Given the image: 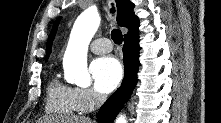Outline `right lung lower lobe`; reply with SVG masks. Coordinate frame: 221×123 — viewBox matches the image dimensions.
Wrapping results in <instances>:
<instances>
[{
    "mask_svg": "<svg viewBox=\"0 0 221 123\" xmlns=\"http://www.w3.org/2000/svg\"><path fill=\"white\" fill-rule=\"evenodd\" d=\"M139 36H129L124 38L123 60H124V79L120 88L114 92L104 103L97 114L99 123H113L124 103L130 98L137 82V72L139 62Z\"/></svg>",
    "mask_w": 221,
    "mask_h": 123,
    "instance_id": "98d812e1",
    "label": "right lung lower lobe"
}]
</instances>
